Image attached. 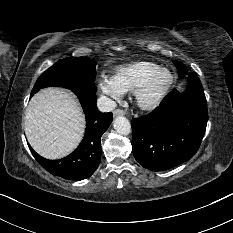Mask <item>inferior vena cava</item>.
<instances>
[{
	"instance_id": "602c4592",
	"label": "inferior vena cava",
	"mask_w": 233,
	"mask_h": 233,
	"mask_svg": "<svg viewBox=\"0 0 233 233\" xmlns=\"http://www.w3.org/2000/svg\"><path fill=\"white\" fill-rule=\"evenodd\" d=\"M97 107L101 112H111L116 107V103L106 96H100L97 100Z\"/></svg>"
}]
</instances>
